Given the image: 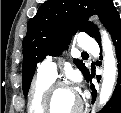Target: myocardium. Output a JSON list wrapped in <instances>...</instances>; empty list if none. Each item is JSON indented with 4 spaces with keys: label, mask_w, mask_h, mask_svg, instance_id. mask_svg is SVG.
Segmentation results:
<instances>
[{
    "label": "myocardium",
    "mask_w": 121,
    "mask_h": 113,
    "mask_svg": "<svg viewBox=\"0 0 121 113\" xmlns=\"http://www.w3.org/2000/svg\"><path fill=\"white\" fill-rule=\"evenodd\" d=\"M62 88H70L72 89L78 96V105L77 107L70 111V113H76L78 111L83 110V100L81 96L78 94L76 90H74L69 84L63 81H58L55 83H52L45 91V110H48L47 113H53L54 108V94L56 91Z\"/></svg>",
    "instance_id": "f54148a6"
}]
</instances>
